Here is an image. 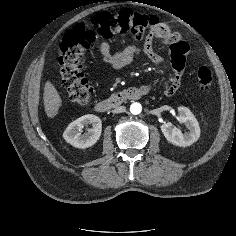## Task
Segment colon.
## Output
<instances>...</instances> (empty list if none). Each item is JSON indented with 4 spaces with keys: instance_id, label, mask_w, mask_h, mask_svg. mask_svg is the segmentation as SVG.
Masks as SVG:
<instances>
[{
    "instance_id": "5ec220e1",
    "label": "colon",
    "mask_w": 236,
    "mask_h": 236,
    "mask_svg": "<svg viewBox=\"0 0 236 236\" xmlns=\"http://www.w3.org/2000/svg\"><path fill=\"white\" fill-rule=\"evenodd\" d=\"M147 31L164 42L175 36L155 16L131 10L100 13L67 31L61 43L59 63L62 82L71 101L84 105L91 99L92 88L83 73L82 65L85 53L98 37L111 38L115 34H130L134 38H142ZM197 78L200 87L208 89L213 82V72L209 67L201 66L197 71Z\"/></svg>"
}]
</instances>
